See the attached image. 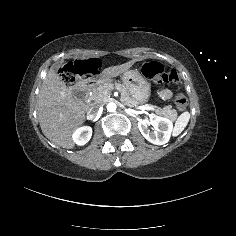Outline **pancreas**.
Returning a JSON list of instances; mask_svg holds the SVG:
<instances>
[{"label": "pancreas", "instance_id": "pancreas-1", "mask_svg": "<svg viewBox=\"0 0 236 236\" xmlns=\"http://www.w3.org/2000/svg\"><path fill=\"white\" fill-rule=\"evenodd\" d=\"M117 89L121 93L120 101L129 107H137L140 105V102L135 100L130 96L127 89L120 83H104L98 86H93L90 89L91 94L88 97V102L90 104L95 103H103L105 102L108 97L111 95L113 89ZM155 112L160 115L164 116L172 121L176 120L177 118V111L172 109L171 105H168L164 108H159L154 106Z\"/></svg>", "mask_w": 236, "mask_h": 236}]
</instances>
